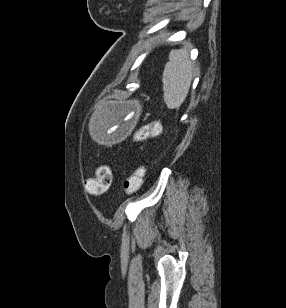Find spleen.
<instances>
[{"label":"spleen","instance_id":"obj_1","mask_svg":"<svg viewBox=\"0 0 286 308\" xmlns=\"http://www.w3.org/2000/svg\"><path fill=\"white\" fill-rule=\"evenodd\" d=\"M188 53V48L184 47L169 54L162 77L164 101L169 109H178L187 97L193 77Z\"/></svg>","mask_w":286,"mask_h":308}]
</instances>
